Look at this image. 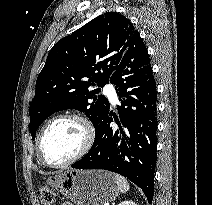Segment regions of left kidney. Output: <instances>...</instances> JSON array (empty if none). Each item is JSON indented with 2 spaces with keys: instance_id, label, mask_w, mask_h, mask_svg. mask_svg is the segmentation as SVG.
I'll return each instance as SVG.
<instances>
[{
  "instance_id": "1",
  "label": "left kidney",
  "mask_w": 212,
  "mask_h": 205,
  "mask_svg": "<svg viewBox=\"0 0 212 205\" xmlns=\"http://www.w3.org/2000/svg\"><path fill=\"white\" fill-rule=\"evenodd\" d=\"M119 205H136V204L132 200H126V201L120 203Z\"/></svg>"
}]
</instances>
